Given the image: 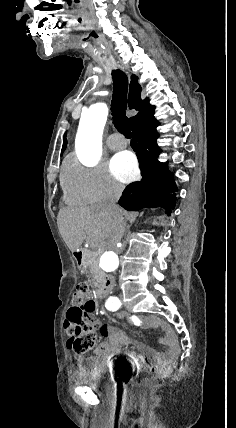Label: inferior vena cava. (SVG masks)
Listing matches in <instances>:
<instances>
[{
  "label": "inferior vena cava",
  "instance_id": "inferior-vena-cava-1",
  "mask_svg": "<svg viewBox=\"0 0 236 428\" xmlns=\"http://www.w3.org/2000/svg\"><path fill=\"white\" fill-rule=\"evenodd\" d=\"M107 190H108V202L106 204L108 210H111L115 214L114 220L116 225L121 226L124 223L123 212L120 206H117L116 202L119 200V196L122 194L121 184H117L111 178H106Z\"/></svg>",
  "mask_w": 236,
  "mask_h": 428
}]
</instances>
